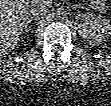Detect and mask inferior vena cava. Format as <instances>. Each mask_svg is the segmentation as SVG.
<instances>
[{
	"label": "inferior vena cava",
	"mask_w": 111,
	"mask_h": 106,
	"mask_svg": "<svg viewBox=\"0 0 111 106\" xmlns=\"http://www.w3.org/2000/svg\"><path fill=\"white\" fill-rule=\"evenodd\" d=\"M48 12L47 2L35 0L31 2L30 13L34 16L44 15Z\"/></svg>",
	"instance_id": "602c4592"
}]
</instances>
